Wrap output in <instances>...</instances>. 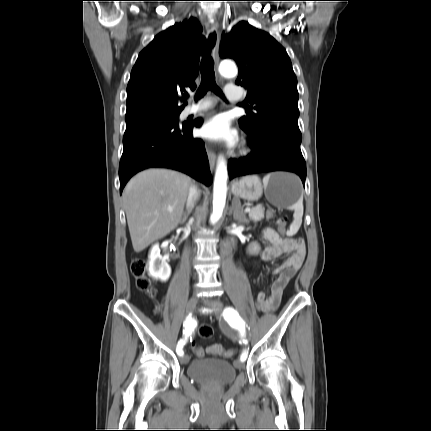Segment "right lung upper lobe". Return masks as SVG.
I'll use <instances>...</instances> for the list:
<instances>
[{"label":"right lung upper lobe","instance_id":"1","mask_svg":"<svg viewBox=\"0 0 431 431\" xmlns=\"http://www.w3.org/2000/svg\"><path fill=\"white\" fill-rule=\"evenodd\" d=\"M199 35L196 19L176 23L140 52L127 86L126 121L183 110L180 94L196 87L199 73Z\"/></svg>","mask_w":431,"mask_h":431}]
</instances>
